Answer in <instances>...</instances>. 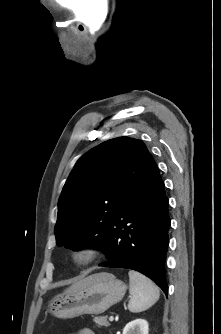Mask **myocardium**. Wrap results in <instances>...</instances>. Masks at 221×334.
I'll return each mask as SVG.
<instances>
[{
  "label": "myocardium",
  "mask_w": 221,
  "mask_h": 334,
  "mask_svg": "<svg viewBox=\"0 0 221 334\" xmlns=\"http://www.w3.org/2000/svg\"><path fill=\"white\" fill-rule=\"evenodd\" d=\"M100 255V249L93 244H82L72 249L70 261L74 266L84 267L93 263Z\"/></svg>",
  "instance_id": "myocardium-1"
}]
</instances>
